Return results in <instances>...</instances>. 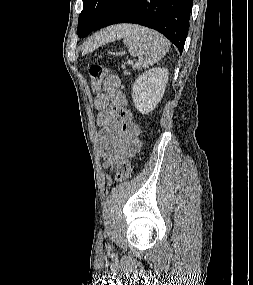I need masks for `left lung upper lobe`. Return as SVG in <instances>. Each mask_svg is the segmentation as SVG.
<instances>
[{"mask_svg":"<svg viewBox=\"0 0 253 285\" xmlns=\"http://www.w3.org/2000/svg\"><path fill=\"white\" fill-rule=\"evenodd\" d=\"M113 0H83V10L79 15L77 34L85 37L100 23Z\"/></svg>","mask_w":253,"mask_h":285,"instance_id":"left-lung-upper-lobe-1","label":"left lung upper lobe"}]
</instances>
